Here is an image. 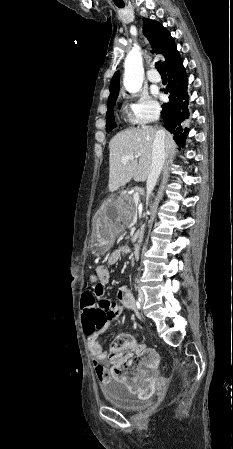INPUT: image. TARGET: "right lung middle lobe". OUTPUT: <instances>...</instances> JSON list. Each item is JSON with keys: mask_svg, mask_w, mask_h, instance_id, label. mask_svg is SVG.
I'll list each match as a JSON object with an SVG mask.
<instances>
[{"mask_svg": "<svg viewBox=\"0 0 233 449\" xmlns=\"http://www.w3.org/2000/svg\"><path fill=\"white\" fill-rule=\"evenodd\" d=\"M118 94L110 96L108 98L107 116H106V130L113 129L115 125V119L113 116V106L115 105Z\"/></svg>", "mask_w": 233, "mask_h": 449, "instance_id": "1", "label": "right lung middle lobe"}]
</instances>
